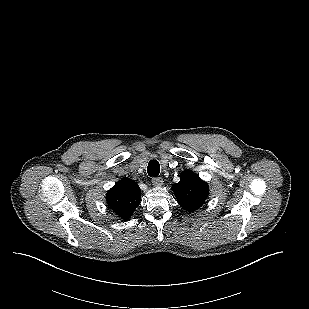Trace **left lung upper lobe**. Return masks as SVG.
<instances>
[{
	"label": "left lung upper lobe",
	"mask_w": 309,
	"mask_h": 309,
	"mask_svg": "<svg viewBox=\"0 0 309 309\" xmlns=\"http://www.w3.org/2000/svg\"><path fill=\"white\" fill-rule=\"evenodd\" d=\"M208 184L192 171L181 174L180 181L172 185V190L180 206L188 212L199 209L206 201Z\"/></svg>",
	"instance_id": "5c2ea615"
}]
</instances>
